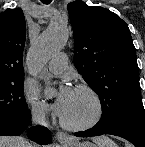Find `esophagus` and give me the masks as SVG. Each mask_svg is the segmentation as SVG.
I'll list each match as a JSON object with an SVG mask.
<instances>
[{
	"label": "esophagus",
	"mask_w": 145,
	"mask_h": 147,
	"mask_svg": "<svg viewBox=\"0 0 145 147\" xmlns=\"http://www.w3.org/2000/svg\"><path fill=\"white\" fill-rule=\"evenodd\" d=\"M56 139L61 143L71 141V138L66 133H64L62 131H58L56 133Z\"/></svg>",
	"instance_id": "obj_1"
}]
</instances>
